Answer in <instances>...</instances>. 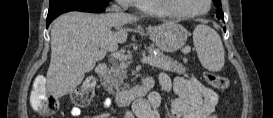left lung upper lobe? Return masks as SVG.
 Wrapping results in <instances>:
<instances>
[{"label":"left lung upper lobe","instance_id":"obj_1","mask_svg":"<svg viewBox=\"0 0 273 118\" xmlns=\"http://www.w3.org/2000/svg\"><path fill=\"white\" fill-rule=\"evenodd\" d=\"M215 6L217 7V17L218 18H224L222 9H221V0H213Z\"/></svg>","mask_w":273,"mask_h":118}]
</instances>
